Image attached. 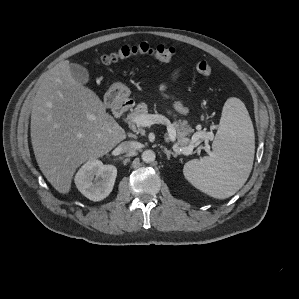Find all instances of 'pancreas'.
Segmentation results:
<instances>
[{
	"label": "pancreas",
	"mask_w": 299,
	"mask_h": 299,
	"mask_svg": "<svg viewBox=\"0 0 299 299\" xmlns=\"http://www.w3.org/2000/svg\"><path fill=\"white\" fill-rule=\"evenodd\" d=\"M169 115H172L174 119H176L177 115L174 114L171 111H167ZM142 114H148V106L146 103L142 102L138 104L134 110L130 112L128 115V120L130 127L132 130L136 133L144 134V130L137 125L133 120ZM173 126L176 130V137L177 145L181 147H187L191 144H197L199 139L204 138V135L202 133L198 134V136L195 138V140H190L187 138L188 135L192 134L194 132V129L188 124L186 120H178L174 121Z\"/></svg>",
	"instance_id": "cf45deb5"
}]
</instances>
